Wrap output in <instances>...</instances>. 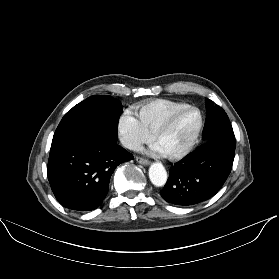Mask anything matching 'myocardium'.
<instances>
[{
	"label": "myocardium",
	"instance_id": "obj_1",
	"mask_svg": "<svg viewBox=\"0 0 279 279\" xmlns=\"http://www.w3.org/2000/svg\"><path fill=\"white\" fill-rule=\"evenodd\" d=\"M186 110H194L198 113L199 124H198L190 142L182 151L175 153V154H165L166 157L172 161L181 160V159L185 158L192 152L193 148L195 147V145L201 135L203 126H204V117H203L201 110L198 107L193 106V105H186L184 107H181V108L175 110L172 114H170V116L165 120V122L159 127V129L154 134V141L156 143H158L159 140L161 139V137L164 136L170 130V128L172 127V125L175 122V120L177 119V117Z\"/></svg>",
	"mask_w": 279,
	"mask_h": 279
}]
</instances>
